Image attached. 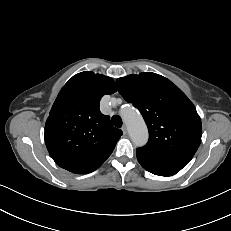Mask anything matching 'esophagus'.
I'll use <instances>...</instances> for the list:
<instances>
[{
  "label": "esophagus",
  "mask_w": 231,
  "mask_h": 231,
  "mask_svg": "<svg viewBox=\"0 0 231 231\" xmlns=\"http://www.w3.org/2000/svg\"><path fill=\"white\" fill-rule=\"evenodd\" d=\"M122 131H123V134H127V127H126V125H124L123 127H122Z\"/></svg>",
  "instance_id": "34e87169"
}]
</instances>
